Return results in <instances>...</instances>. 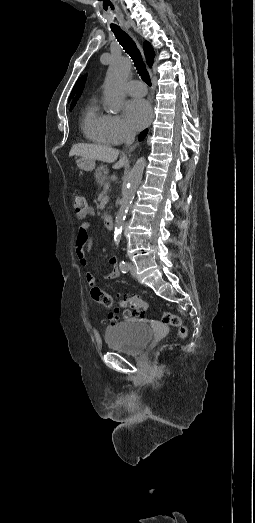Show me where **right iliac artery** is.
Returning <instances> with one entry per match:
<instances>
[{"label": "right iliac artery", "instance_id": "right-iliac-artery-1", "mask_svg": "<svg viewBox=\"0 0 255 523\" xmlns=\"http://www.w3.org/2000/svg\"><path fill=\"white\" fill-rule=\"evenodd\" d=\"M120 267V270L123 272V273H127L128 270H129V267H128V264L124 261H122L119 265Z\"/></svg>", "mask_w": 255, "mask_h": 523}]
</instances>
